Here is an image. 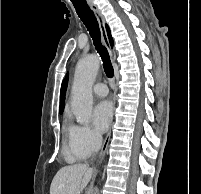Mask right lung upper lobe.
<instances>
[{
	"label": "right lung upper lobe",
	"mask_w": 201,
	"mask_h": 194,
	"mask_svg": "<svg viewBox=\"0 0 201 194\" xmlns=\"http://www.w3.org/2000/svg\"><path fill=\"white\" fill-rule=\"evenodd\" d=\"M106 29H107V33H108V37H109L110 43L112 45L113 41H112V37H111V34H110L109 27L107 25H106ZM67 80H68V77H66L65 83H64V85L62 87V91H61L60 113L63 112L64 106H65L64 100H65V91H66V86H67Z\"/></svg>",
	"instance_id": "1"
}]
</instances>
